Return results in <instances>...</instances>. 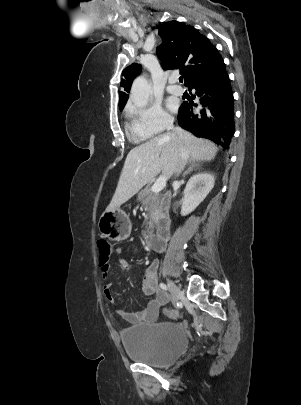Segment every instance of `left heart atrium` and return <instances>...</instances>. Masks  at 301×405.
<instances>
[{
    "label": "left heart atrium",
    "mask_w": 301,
    "mask_h": 405,
    "mask_svg": "<svg viewBox=\"0 0 301 405\" xmlns=\"http://www.w3.org/2000/svg\"><path fill=\"white\" fill-rule=\"evenodd\" d=\"M169 106H170L171 108H174V105H173L172 103H170Z\"/></svg>",
    "instance_id": "obj_1"
}]
</instances>
